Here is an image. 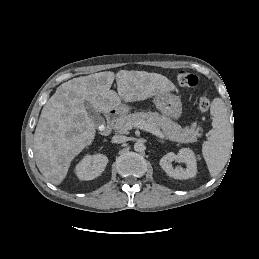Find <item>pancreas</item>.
<instances>
[{
    "instance_id": "1",
    "label": "pancreas",
    "mask_w": 259,
    "mask_h": 259,
    "mask_svg": "<svg viewBox=\"0 0 259 259\" xmlns=\"http://www.w3.org/2000/svg\"><path fill=\"white\" fill-rule=\"evenodd\" d=\"M137 121H144L161 129L165 139L179 143H193L197 140V137L201 136V129L196 123H193L190 128H182L170 118L157 112H136L122 115L113 123V128L119 134H128L130 129L127 127V124Z\"/></svg>"
}]
</instances>
